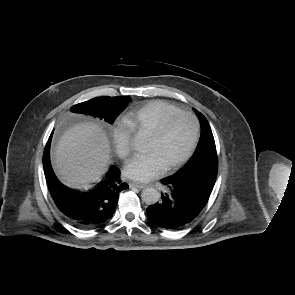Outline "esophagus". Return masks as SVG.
<instances>
[{"label": "esophagus", "mask_w": 295, "mask_h": 295, "mask_svg": "<svg viewBox=\"0 0 295 295\" xmlns=\"http://www.w3.org/2000/svg\"><path fill=\"white\" fill-rule=\"evenodd\" d=\"M129 186H130V188L135 187V188H138V189H143L145 187L144 184L136 183V182L129 183Z\"/></svg>", "instance_id": "esophagus-1"}]
</instances>
